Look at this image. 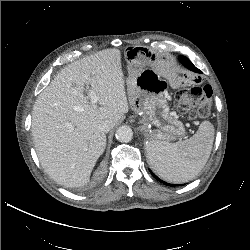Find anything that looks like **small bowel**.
<instances>
[{
    "mask_svg": "<svg viewBox=\"0 0 250 250\" xmlns=\"http://www.w3.org/2000/svg\"><path fill=\"white\" fill-rule=\"evenodd\" d=\"M131 52L134 54L133 57L135 58V56L137 55V50H131ZM194 80L196 82H199L200 78L198 76L192 77L189 79V81Z\"/></svg>",
    "mask_w": 250,
    "mask_h": 250,
    "instance_id": "small-bowel-1",
    "label": "small bowel"
}]
</instances>
